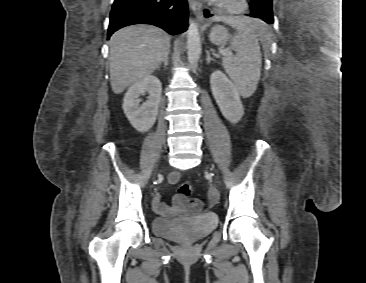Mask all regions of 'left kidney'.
<instances>
[{"mask_svg":"<svg viewBox=\"0 0 366 283\" xmlns=\"http://www.w3.org/2000/svg\"><path fill=\"white\" fill-rule=\"evenodd\" d=\"M210 85L222 115L228 121L237 123L244 114V108L236 86L220 70L212 73Z\"/></svg>","mask_w":366,"mask_h":283,"instance_id":"1","label":"left kidney"}]
</instances>
